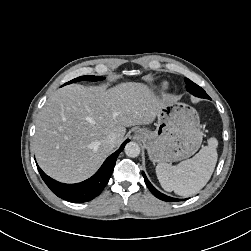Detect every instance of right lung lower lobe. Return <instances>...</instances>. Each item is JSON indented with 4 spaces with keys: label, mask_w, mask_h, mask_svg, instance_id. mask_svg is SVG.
Masks as SVG:
<instances>
[{
    "label": "right lung lower lobe",
    "mask_w": 251,
    "mask_h": 251,
    "mask_svg": "<svg viewBox=\"0 0 251 251\" xmlns=\"http://www.w3.org/2000/svg\"><path fill=\"white\" fill-rule=\"evenodd\" d=\"M129 141V139L124 141L121 147L105 160L100 169L91 178L81 183L64 184L57 182L47 176L38 165L37 168L42 179L55 195L69 202H87L102 192L113 172L119 153Z\"/></svg>",
    "instance_id": "right-lung-lower-lobe-1"
}]
</instances>
